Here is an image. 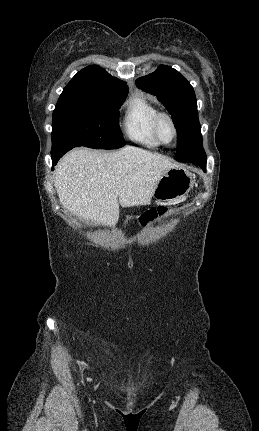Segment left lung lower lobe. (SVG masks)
<instances>
[{
    "mask_svg": "<svg viewBox=\"0 0 259 431\" xmlns=\"http://www.w3.org/2000/svg\"><path fill=\"white\" fill-rule=\"evenodd\" d=\"M207 158L197 161L195 164L199 165L204 171L206 170Z\"/></svg>",
    "mask_w": 259,
    "mask_h": 431,
    "instance_id": "obj_1",
    "label": "left lung lower lobe"
}]
</instances>
